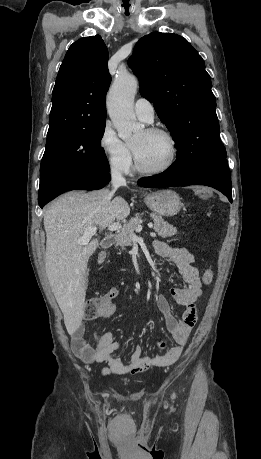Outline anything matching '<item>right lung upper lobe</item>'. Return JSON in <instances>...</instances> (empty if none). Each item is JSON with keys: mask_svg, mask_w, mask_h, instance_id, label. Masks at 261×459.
<instances>
[{"mask_svg": "<svg viewBox=\"0 0 261 459\" xmlns=\"http://www.w3.org/2000/svg\"><path fill=\"white\" fill-rule=\"evenodd\" d=\"M108 51L100 36L82 38L68 49L52 94L48 134L92 127L106 121L111 82Z\"/></svg>", "mask_w": 261, "mask_h": 459, "instance_id": "right-lung-upper-lobe-1", "label": "right lung upper lobe"}]
</instances>
